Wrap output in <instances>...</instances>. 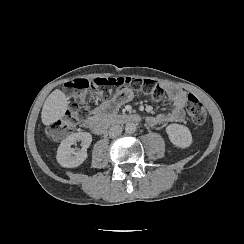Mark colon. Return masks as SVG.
<instances>
[{
    "instance_id": "5ec220e1",
    "label": "colon",
    "mask_w": 244,
    "mask_h": 244,
    "mask_svg": "<svg viewBox=\"0 0 244 244\" xmlns=\"http://www.w3.org/2000/svg\"><path fill=\"white\" fill-rule=\"evenodd\" d=\"M124 86L143 87V93L150 95L157 100H163L165 93L162 88L155 85L152 80L143 78H132L129 76L120 77H104L90 79L86 76H81L77 79L67 81L63 87L65 96L71 100H77L74 103V112H67L54 123L46 127V133L51 138H66L71 136L78 122H83L87 119L88 104L93 103L97 99H109L114 91ZM99 89L93 93V89ZM186 114L188 119L197 125H202L206 122V111L203 104L194 95L188 96Z\"/></svg>"
}]
</instances>
